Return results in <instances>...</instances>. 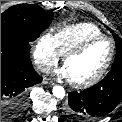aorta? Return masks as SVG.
<instances>
[{"label":"aorta","mask_w":122,"mask_h":122,"mask_svg":"<svg viewBox=\"0 0 122 122\" xmlns=\"http://www.w3.org/2000/svg\"><path fill=\"white\" fill-rule=\"evenodd\" d=\"M52 92L53 95L58 99H63L65 97V89L62 86H54Z\"/></svg>","instance_id":"aorta-1"}]
</instances>
